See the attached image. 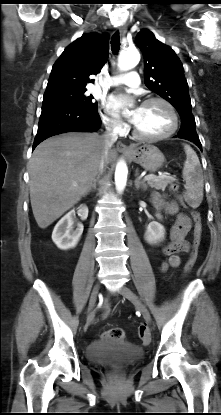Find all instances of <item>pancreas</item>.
<instances>
[{
	"label": "pancreas",
	"mask_w": 221,
	"mask_h": 415,
	"mask_svg": "<svg viewBox=\"0 0 221 415\" xmlns=\"http://www.w3.org/2000/svg\"><path fill=\"white\" fill-rule=\"evenodd\" d=\"M173 179L169 177H158L156 179H151L147 181V184L151 188H155L156 190H165L168 184H172Z\"/></svg>",
	"instance_id": "pancreas-1"
}]
</instances>
